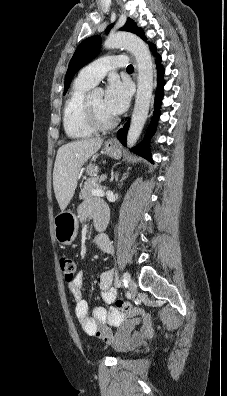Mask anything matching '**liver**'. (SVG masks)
I'll list each match as a JSON object with an SVG mask.
<instances>
[{"label": "liver", "instance_id": "6515ba94", "mask_svg": "<svg viewBox=\"0 0 227 396\" xmlns=\"http://www.w3.org/2000/svg\"><path fill=\"white\" fill-rule=\"evenodd\" d=\"M103 139L87 138L62 145L57 152L53 170V188L61 211L71 201L78 175L84 163L102 146Z\"/></svg>", "mask_w": 227, "mask_h": 396}]
</instances>
